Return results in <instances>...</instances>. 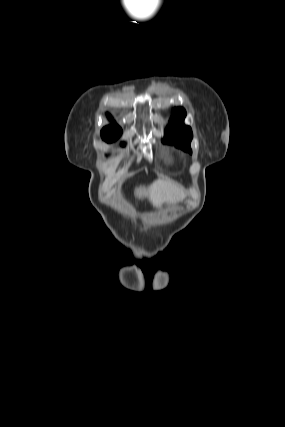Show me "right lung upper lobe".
Listing matches in <instances>:
<instances>
[{
  "instance_id": "obj_1",
  "label": "right lung upper lobe",
  "mask_w": 285,
  "mask_h": 427,
  "mask_svg": "<svg viewBox=\"0 0 285 427\" xmlns=\"http://www.w3.org/2000/svg\"><path fill=\"white\" fill-rule=\"evenodd\" d=\"M120 131L121 128L116 123H112L111 125L104 127L101 133H115Z\"/></svg>"
}]
</instances>
